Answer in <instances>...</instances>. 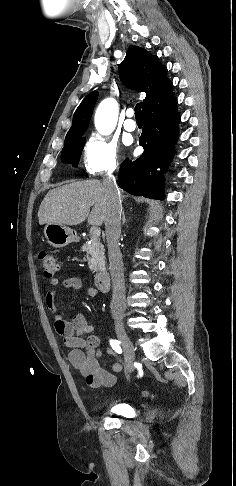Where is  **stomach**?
<instances>
[{"label":"stomach","instance_id":"stomach-1","mask_svg":"<svg viewBox=\"0 0 236 486\" xmlns=\"http://www.w3.org/2000/svg\"><path fill=\"white\" fill-rule=\"evenodd\" d=\"M44 234L48 243L55 248L65 247L77 239L71 228L57 223H48L44 228Z\"/></svg>","mask_w":236,"mask_h":486}]
</instances>
